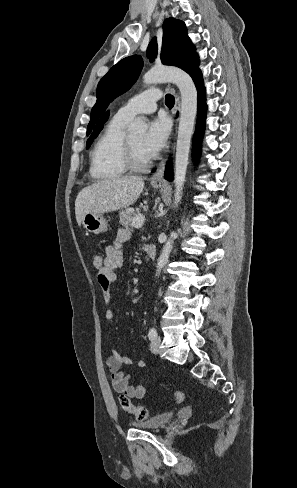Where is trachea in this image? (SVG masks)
<instances>
[{"mask_svg": "<svg viewBox=\"0 0 297 488\" xmlns=\"http://www.w3.org/2000/svg\"><path fill=\"white\" fill-rule=\"evenodd\" d=\"M175 98L171 94H167L165 97V104L168 107H172L174 105Z\"/></svg>", "mask_w": 297, "mask_h": 488, "instance_id": "obj_1", "label": "trachea"}]
</instances>
